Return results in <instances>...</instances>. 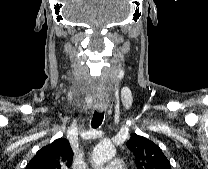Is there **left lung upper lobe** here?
<instances>
[{"label":"left lung upper lobe","mask_w":208,"mask_h":169,"mask_svg":"<svg viewBox=\"0 0 208 169\" xmlns=\"http://www.w3.org/2000/svg\"><path fill=\"white\" fill-rule=\"evenodd\" d=\"M127 147L135 156L137 169H171L169 160L154 142L133 134Z\"/></svg>","instance_id":"obj_1"}]
</instances>
